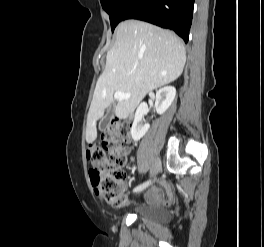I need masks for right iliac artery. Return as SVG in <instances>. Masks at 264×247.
I'll list each match as a JSON object with an SVG mask.
<instances>
[{
    "label": "right iliac artery",
    "instance_id": "obj_1",
    "mask_svg": "<svg viewBox=\"0 0 264 247\" xmlns=\"http://www.w3.org/2000/svg\"><path fill=\"white\" fill-rule=\"evenodd\" d=\"M150 180L149 181H147V182H145V183H143V184H141V185H139V186H137L136 188H134V192H139V191H142V190H144L149 184H150Z\"/></svg>",
    "mask_w": 264,
    "mask_h": 247
}]
</instances>
